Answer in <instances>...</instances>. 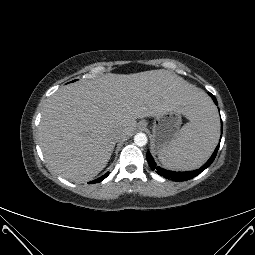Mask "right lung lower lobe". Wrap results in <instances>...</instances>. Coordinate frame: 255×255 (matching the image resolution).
Wrapping results in <instances>:
<instances>
[{"instance_id": "obj_1", "label": "right lung lower lobe", "mask_w": 255, "mask_h": 255, "mask_svg": "<svg viewBox=\"0 0 255 255\" xmlns=\"http://www.w3.org/2000/svg\"><path fill=\"white\" fill-rule=\"evenodd\" d=\"M108 174H109V172L105 173V174H104L103 176H101L100 178L91 181L90 183L100 182V181H102L103 179H105V178L108 176Z\"/></svg>"}]
</instances>
